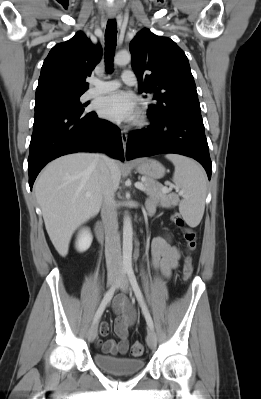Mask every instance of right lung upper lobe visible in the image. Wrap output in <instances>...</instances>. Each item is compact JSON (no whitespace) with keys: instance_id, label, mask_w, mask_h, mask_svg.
<instances>
[{"instance_id":"obj_1","label":"right lung upper lobe","mask_w":261,"mask_h":399,"mask_svg":"<svg viewBox=\"0 0 261 399\" xmlns=\"http://www.w3.org/2000/svg\"><path fill=\"white\" fill-rule=\"evenodd\" d=\"M101 55L100 45L94 46L82 32L55 45L41 68L35 101L83 94L89 86L85 79L91 75Z\"/></svg>"}]
</instances>
